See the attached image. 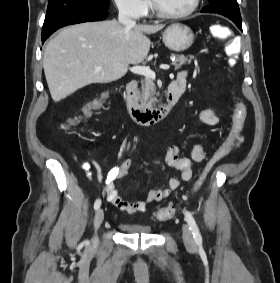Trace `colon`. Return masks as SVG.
Here are the masks:
<instances>
[{"mask_svg":"<svg viewBox=\"0 0 280 283\" xmlns=\"http://www.w3.org/2000/svg\"><path fill=\"white\" fill-rule=\"evenodd\" d=\"M210 32L212 36L216 39L224 40L228 38L227 55H230L229 63L231 65H234L236 61L233 55H240L241 47H243V42H241V37H230L232 35V31L229 27L224 26V25H212L210 26ZM96 111H97L96 107H86L84 115L81 116V119L85 120L86 116L89 115V112H96ZM245 117H246L245 105L242 102L238 101L235 107L233 122L237 126H241L244 124ZM71 118L75 119L76 115L72 114ZM80 123H81L80 119H77L76 122H68L67 123L68 127L65 128V131L69 132L70 131L69 127H77L78 124ZM225 154H226L225 150L222 149V150L217 151L212 156V158L209 160V162L205 166L203 172L200 174L199 178L195 182L193 186V191H196L201 186L202 182L204 181L208 173L225 156ZM175 213H176V208L174 206H167V207L157 210L154 213V218L158 221H167L171 219L175 215Z\"/></svg>","mask_w":280,"mask_h":283,"instance_id":"obj_1","label":"colon"}]
</instances>
